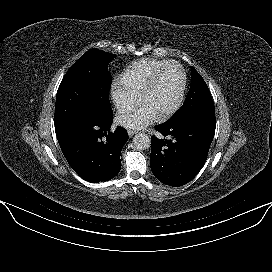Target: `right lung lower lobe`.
Instances as JSON below:
<instances>
[{
  "label": "right lung lower lobe",
  "mask_w": 272,
  "mask_h": 272,
  "mask_svg": "<svg viewBox=\"0 0 272 272\" xmlns=\"http://www.w3.org/2000/svg\"><path fill=\"white\" fill-rule=\"evenodd\" d=\"M112 122L113 113L105 117L85 114L57 135L69 165L86 181L110 180L121 169L120 153L128 134L120 126L111 133Z\"/></svg>",
  "instance_id": "obj_1"
}]
</instances>
